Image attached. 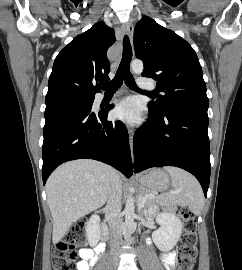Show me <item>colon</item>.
Returning <instances> with one entry per match:
<instances>
[{
	"instance_id": "colon-1",
	"label": "colon",
	"mask_w": 242,
	"mask_h": 270,
	"mask_svg": "<svg viewBox=\"0 0 242 270\" xmlns=\"http://www.w3.org/2000/svg\"><path fill=\"white\" fill-rule=\"evenodd\" d=\"M184 220L182 245L178 258V270H192L197 254V234L194 215L187 208L180 210ZM86 240V224L79 221L74 223L63 238L56 244L53 252L54 270H76V244Z\"/></svg>"
}]
</instances>
